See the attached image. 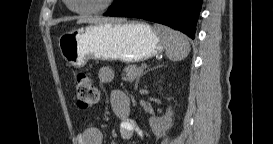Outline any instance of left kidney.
<instances>
[{"label": "left kidney", "mask_w": 273, "mask_h": 144, "mask_svg": "<svg viewBox=\"0 0 273 144\" xmlns=\"http://www.w3.org/2000/svg\"><path fill=\"white\" fill-rule=\"evenodd\" d=\"M172 116L173 111L171 108H168L166 114L162 118L152 117L149 119L150 127L157 137H161L165 134V131L172 127Z\"/></svg>", "instance_id": "5707ae66"}]
</instances>
